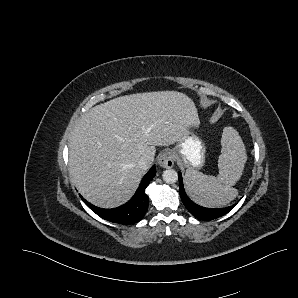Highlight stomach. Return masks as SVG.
Returning <instances> with one entry per match:
<instances>
[{
  "mask_svg": "<svg viewBox=\"0 0 298 298\" xmlns=\"http://www.w3.org/2000/svg\"><path fill=\"white\" fill-rule=\"evenodd\" d=\"M175 160L185 168L201 169L206 162L207 146L194 127L186 129V134L172 149Z\"/></svg>",
  "mask_w": 298,
  "mask_h": 298,
  "instance_id": "obj_1",
  "label": "stomach"
}]
</instances>
